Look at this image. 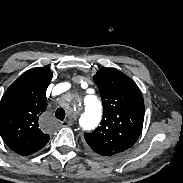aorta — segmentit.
I'll list each match as a JSON object with an SVG mask.
<instances>
[{"mask_svg":"<svg viewBox=\"0 0 183 183\" xmlns=\"http://www.w3.org/2000/svg\"><path fill=\"white\" fill-rule=\"evenodd\" d=\"M102 116V105L95 95L84 98V110L80 114L79 123L85 130H91L98 125Z\"/></svg>","mask_w":183,"mask_h":183,"instance_id":"aorta-1","label":"aorta"}]
</instances>
